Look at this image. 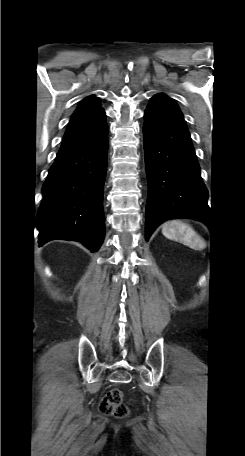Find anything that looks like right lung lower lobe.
<instances>
[{
  "label": "right lung lower lobe",
  "instance_id": "right-lung-lower-lobe-1",
  "mask_svg": "<svg viewBox=\"0 0 245 456\" xmlns=\"http://www.w3.org/2000/svg\"><path fill=\"white\" fill-rule=\"evenodd\" d=\"M108 126L90 144L58 152L43 185L36 225L39 246L51 240L82 242L96 252L104 239L103 185Z\"/></svg>",
  "mask_w": 245,
  "mask_h": 456
}]
</instances>
